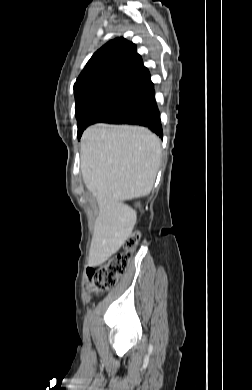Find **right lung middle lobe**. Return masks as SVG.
<instances>
[{
    "label": "right lung middle lobe",
    "mask_w": 252,
    "mask_h": 390,
    "mask_svg": "<svg viewBox=\"0 0 252 390\" xmlns=\"http://www.w3.org/2000/svg\"><path fill=\"white\" fill-rule=\"evenodd\" d=\"M133 103L135 101L128 99H99L75 109L78 123V140L89 125L105 122L113 115L130 107Z\"/></svg>",
    "instance_id": "dd1d6c3e"
}]
</instances>
